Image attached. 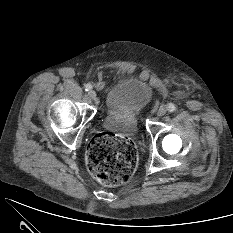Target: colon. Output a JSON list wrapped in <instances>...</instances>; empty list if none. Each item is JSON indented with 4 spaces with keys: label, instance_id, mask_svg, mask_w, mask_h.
<instances>
[{
    "label": "colon",
    "instance_id": "5ec220e1",
    "mask_svg": "<svg viewBox=\"0 0 233 233\" xmlns=\"http://www.w3.org/2000/svg\"><path fill=\"white\" fill-rule=\"evenodd\" d=\"M137 151L129 137L102 132L90 141L86 162L89 171L102 184L116 186L127 182L137 166Z\"/></svg>",
    "mask_w": 233,
    "mask_h": 233
}]
</instances>
